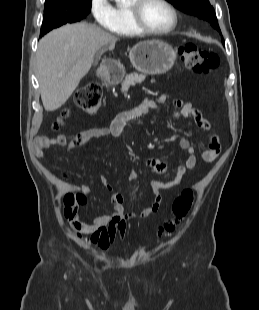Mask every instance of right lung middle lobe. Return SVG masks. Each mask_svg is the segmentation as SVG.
<instances>
[{
    "instance_id": "1",
    "label": "right lung middle lobe",
    "mask_w": 259,
    "mask_h": 310,
    "mask_svg": "<svg viewBox=\"0 0 259 310\" xmlns=\"http://www.w3.org/2000/svg\"><path fill=\"white\" fill-rule=\"evenodd\" d=\"M91 11V0L45 4L40 36L66 23L78 22Z\"/></svg>"
}]
</instances>
